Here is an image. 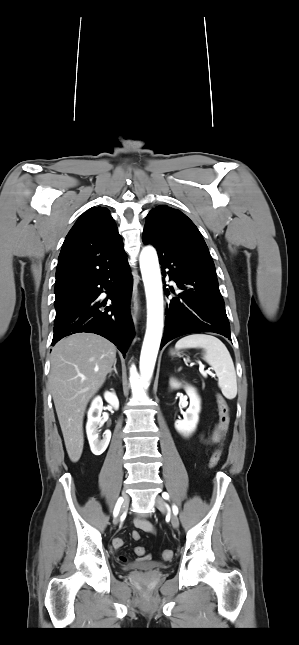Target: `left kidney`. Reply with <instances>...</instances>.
<instances>
[{"label":"left kidney","instance_id":"5707ae66","mask_svg":"<svg viewBox=\"0 0 299 645\" xmlns=\"http://www.w3.org/2000/svg\"><path fill=\"white\" fill-rule=\"evenodd\" d=\"M170 385L173 388H180L181 386V384L174 379L170 381ZM184 389L190 399V405L186 412L183 413V420H177L175 422V428L182 435L189 436L196 429L199 420L201 400L193 387L186 385L184 386Z\"/></svg>","mask_w":299,"mask_h":645}]
</instances>
